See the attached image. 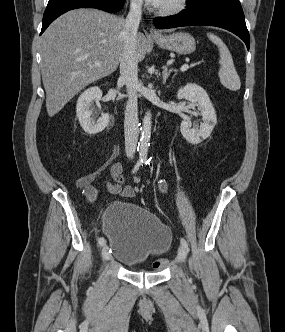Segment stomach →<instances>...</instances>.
I'll use <instances>...</instances> for the list:
<instances>
[{
    "label": "stomach",
    "instance_id": "0dacf381",
    "mask_svg": "<svg viewBox=\"0 0 285 332\" xmlns=\"http://www.w3.org/2000/svg\"><path fill=\"white\" fill-rule=\"evenodd\" d=\"M157 45L163 49L188 55L195 51L196 41L192 35L186 32H177L171 35H163L154 38Z\"/></svg>",
    "mask_w": 285,
    "mask_h": 332
}]
</instances>
